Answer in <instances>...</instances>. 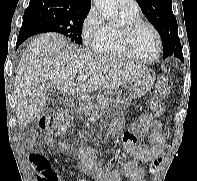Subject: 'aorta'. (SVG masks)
<instances>
[{"label":"aorta","mask_w":197,"mask_h":181,"mask_svg":"<svg viewBox=\"0 0 197 181\" xmlns=\"http://www.w3.org/2000/svg\"><path fill=\"white\" fill-rule=\"evenodd\" d=\"M100 14L110 21L117 20L118 10L116 0H93Z\"/></svg>","instance_id":"aorta-1"}]
</instances>
